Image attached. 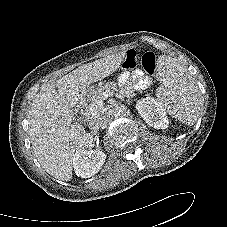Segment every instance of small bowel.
I'll use <instances>...</instances> for the list:
<instances>
[{
  "instance_id": "c3829d8e",
  "label": "small bowel",
  "mask_w": 227,
  "mask_h": 227,
  "mask_svg": "<svg viewBox=\"0 0 227 227\" xmlns=\"http://www.w3.org/2000/svg\"><path fill=\"white\" fill-rule=\"evenodd\" d=\"M120 83L127 89H146L151 83V79L145 76L141 70H135L132 74L124 73L120 76Z\"/></svg>"
}]
</instances>
